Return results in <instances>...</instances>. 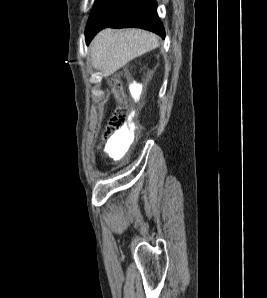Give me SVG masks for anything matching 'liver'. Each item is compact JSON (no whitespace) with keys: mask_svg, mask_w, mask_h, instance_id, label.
I'll return each instance as SVG.
<instances>
[{"mask_svg":"<svg viewBox=\"0 0 267 298\" xmlns=\"http://www.w3.org/2000/svg\"><path fill=\"white\" fill-rule=\"evenodd\" d=\"M158 46V37L141 29L113 30L99 32L91 42L92 65L104 77H108L128 62Z\"/></svg>","mask_w":267,"mask_h":298,"instance_id":"liver-1","label":"liver"}]
</instances>
